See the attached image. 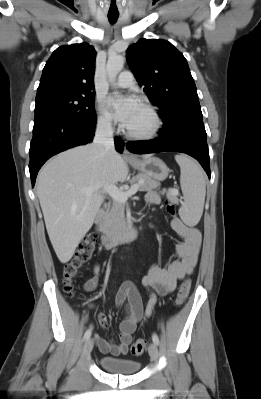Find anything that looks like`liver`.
<instances>
[{"label": "liver", "mask_w": 261, "mask_h": 399, "mask_svg": "<svg viewBox=\"0 0 261 399\" xmlns=\"http://www.w3.org/2000/svg\"><path fill=\"white\" fill-rule=\"evenodd\" d=\"M128 172L121 155L94 143L64 151L40 170L36 192L49 239L61 263L72 258L92 227L104 201L105 186L124 181ZM88 187L98 189L86 195L83 189Z\"/></svg>", "instance_id": "obj_1"}]
</instances>
